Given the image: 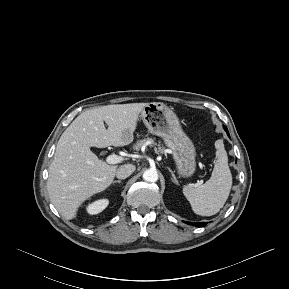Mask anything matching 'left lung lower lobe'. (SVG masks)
I'll list each match as a JSON object with an SVG mask.
<instances>
[{
    "instance_id": "left-lung-lower-lobe-1",
    "label": "left lung lower lobe",
    "mask_w": 289,
    "mask_h": 289,
    "mask_svg": "<svg viewBox=\"0 0 289 289\" xmlns=\"http://www.w3.org/2000/svg\"><path fill=\"white\" fill-rule=\"evenodd\" d=\"M225 131L227 132V134H228V136H229V133H228L227 128H225ZM186 223L189 224V225H195V226H197V227H203V226L206 225V223H204V222H199V223L186 222Z\"/></svg>"
}]
</instances>
